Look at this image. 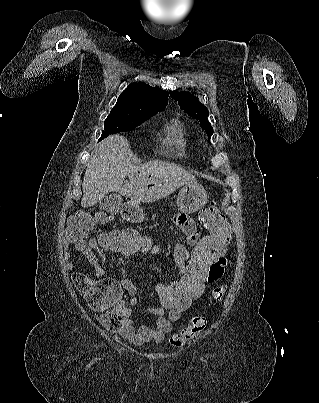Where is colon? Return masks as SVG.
<instances>
[{"mask_svg":"<svg viewBox=\"0 0 319 403\" xmlns=\"http://www.w3.org/2000/svg\"><path fill=\"white\" fill-rule=\"evenodd\" d=\"M105 199L107 201L94 213L83 212L69 219L67 234L70 239L65 240V247L75 248L77 245L84 252L105 251L106 258H119L123 254L125 260H134L136 254H158L161 241L155 240L153 234H141L140 226H114L113 229L101 230L97 236H88L86 240V235L95 222H110L112 217H116L117 210H121V195L107 192ZM199 220L210 231H205V238L194 242V249L190 250L191 258L186 259L183 275H179L177 282L156 283V290L160 291L157 313H188V309H194V300L207 296L206 280L210 276V263L222 255L226 257V251L229 250L230 243H233L231 218H224L215 202L200 212ZM153 265L158 267L160 262L155 260ZM73 279L86 296L90 279L81 273H76ZM226 290L227 286L223 281L214 283L212 299L220 301L225 297ZM210 317L206 309L196 312L189 325L181 323L180 331L170 337L169 343L181 346L200 337L205 332Z\"/></svg>","mask_w":319,"mask_h":403,"instance_id":"1","label":"colon"}]
</instances>
